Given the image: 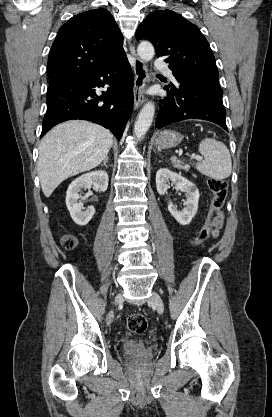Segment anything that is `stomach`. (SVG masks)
I'll return each mask as SVG.
<instances>
[{"mask_svg":"<svg viewBox=\"0 0 272 417\" xmlns=\"http://www.w3.org/2000/svg\"><path fill=\"white\" fill-rule=\"evenodd\" d=\"M183 136L172 130H164L155 138V146L158 149H169L181 143Z\"/></svg>","mask_w":272,"mask_h":417,"instance_id":"1","label":"stomach"}]
</instances>
